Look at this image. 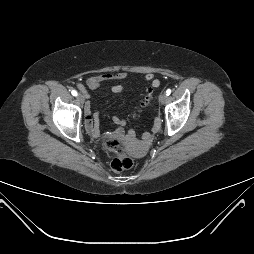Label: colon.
Listing matches in <instances>:
<instances>
[{"label": "colon", "mask_w": 254, "mask_h": 254, "mask_svg": "<svg viewBox=\"0 0 254 254\" xmlns=\"http://www.w3.org/2000/svg\"><path fill=\"white\" fill-rule=\"evenodd\" d=\"M148 105L149 99L142 103V107H147ZM105 147L115 155V158L111 162V169L114 172H122L132 168L133 159L125 153L121 141L117 139H109L106 141Z\"/></svg>", "instance_id": "1"}]
</instances>
